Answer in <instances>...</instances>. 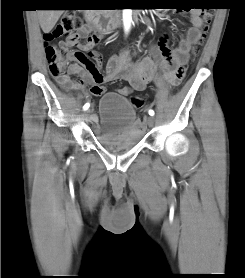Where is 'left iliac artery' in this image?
<instances>
[{
    "mask_svg": "<svg viewBox=\"0 0 245 278\" xmlns=\"http://www.w3.org/2000/svg\"><path fill=\"white\" fill-rule=\"evenodd\" d=\"M155 113L153 110H149V115L153 116Z\"/></svg>",
    "mask_w": 245,
    "mask_h": 278,
    "instance_id": "1",
    "label": "left iliac artery"
}]
</instances>
